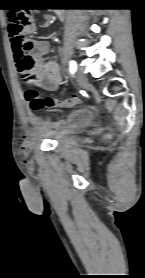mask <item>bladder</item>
<instances>
[{"mask_svg": "<svg viewBox=\"0 0 145 278\" xmlns=\"http://www.w3.org/2000/svg\"><path fill=\"white\" fill-rule=\"evenodd\" d=\"M92 120L93 115L90 111L86 109H75L61 122L59 128L46 131L45 136L49 137L56 144L65 143L74 133L88 127Z\"/></svg>", "mask_w": 145, "mask_h": 278, "instance_id": "bladder-1", "label": "bladder"}]
</instances>
